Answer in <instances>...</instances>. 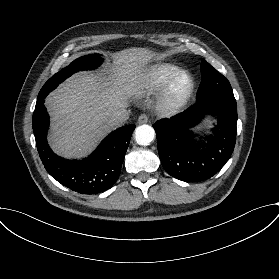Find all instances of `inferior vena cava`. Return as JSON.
I'll use <instances>...</instances> for the list:
<instances>
[{"label":"inferior vena cava","instance_id":"602c4592","mask_svg":"<svg viewBox=\"0 0 279 279\" xmlns=\"http://www.w3.org/2000/svg\"><path fill=\"white\" fill-rule=\"evenodd\" d=\"M128 119H129V111L126 110L125 108H120L112 112L108 124L111 127H119Z\"/></svg>","mask_w":279,"mask_h":279}]
</instances>
